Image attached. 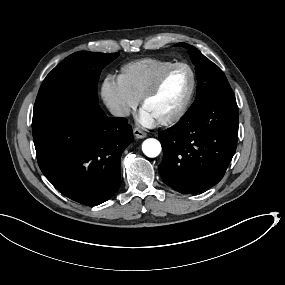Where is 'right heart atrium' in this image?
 <instances>
[{
    "label": "right heart atrium",
    "instance_id": "right-heart-atrium-1",
    "mask_svg": "<svg viewBox=\"0 0 285 285\" xmlns=\"http://www.w3.org/2000/svg\"><path fill=\"white\" fill-rule=\"evenodd\" d=\"M101 96L110 113L119 119L126 118L138 104V98L119 82L113 72H107L103 76Z\"/></svg>",
    "mask_w": 285,
    "mask_h": 285
}]
</instances>
